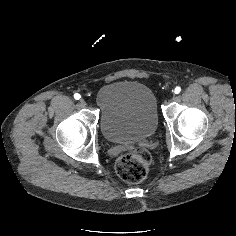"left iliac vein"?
<instances>
[{
	"label": "left iliac vein",
	"instance_id": "obj_1",
	"mask_svg": "<svg viewBox=\"0 0 236 236\" xmlns=\"http://www.w3.org/2000/svg\"><path fill=\"white\" fill-rule=\"evenodd\" d=\"M169 100L171 101V102H175L176 100H177V97L175 96V94H170V96H169Z\"/></svg>",
	"mask_w": 236,
	"mask_h": 236
}]
</instances>
